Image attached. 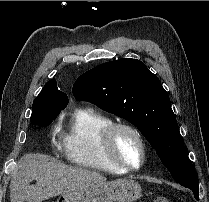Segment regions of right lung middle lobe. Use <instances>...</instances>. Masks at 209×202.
I'll use <instances>...</instances> for the list:
<instances>
[{
	"label": "right lung middle lobe",
	"mask_w": 209,
	"mask_h": 202,
	"mask_svg": "<svg viewBox=\"0 0 209 202\" xmlns=\"http://www.w3.org/2000/svg\"><path fill=\"white\" fill-rule=\"evenodd\" d=\"M51 94H39L32 105L31 123L40 127H46L52 123L58 114L63 110L48 103Z\"/></svg>",
	"instance_id": "dd1d6c3e"
}]
</instances>
